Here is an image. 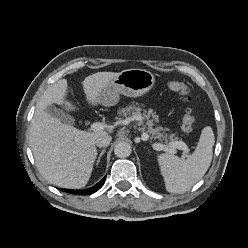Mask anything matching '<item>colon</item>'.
Here are the masks:
<instances>
[{
  "label": "colon",
  "mask_w": 248,
  "mask_h": 248,
  "mask_svg": "<svg viewBox=\"0 0 248 248\" xmlns=\"http://www.w3.org/2000/svg\"><path fill=\"white\" fill-rule=\"evenodd\" d=\"M168 88L173 93L182 96L185 100H190V89L185 83L180 81H170L168 83ZM194 123L195 117L193 111L192 109L187 108L182 119V131L186 134L191 133L194 128Z\"/></svg>",
  "instance_id": "colon-1"
}]
</instances>
